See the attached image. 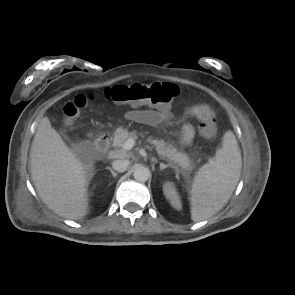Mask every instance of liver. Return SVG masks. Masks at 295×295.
I'll use <instances>...</instances> for the list:
<instances>
[{
    "label": "liver",
    "instance_id": "1",
    "mask_svg": "<svg viewBox=\"0 0 295 295\" xmlns=\"http://www.w3.org/2000/svg\"><path fill=\"white\" fill-rule=\"evenodd\" d=\"M30 164L35 189L52 211L73 220L88 214L92 164L80 160L48 117L40 120L30 149Z\"/></svg>",
    "mask_w": 295,
    "mask_h": 295
}]
</instances>
